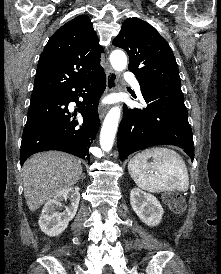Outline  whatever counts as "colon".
Instances as JSON below:
<instances>
[{
	"label": "colon",
	"mask_w": 221,
	"mask_h": 274,
	"mask_svg": "<svg viewBox=\"0 0 221 274\" xmlns=\"http://www.w3.org/2000/svg\"><path fill=\"white\" fill-rule=\"evenodd\" d=\"M164 201L173 212L178 214L183 213L186 208L184 198L177 192L165 193Z\"/></svg>",
	"instance_id": "1"
}]
</instances>
